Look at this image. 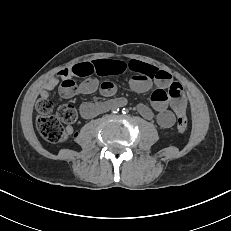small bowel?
Masks as SVG:
<instances>
[{"label": "small bowel", "instance_id": "c3829d8e", "mask_svg": "<svg viewBox=\"0 0 231 231\" xmlns=\"http://www.w3.org/2000/svg\"><path fill=\"white\" fill-rule=\"evenodd\" d=\"M125 71L132 72L129 84L134 91L143 93L155 86L151 94V106L148 107L144 104L138 106L139 112L146 119L155 118L162 128H171L176 117L186 114L187 102L181 84L175 81L168 72L138 60L126 63L120 60L101 59L65 68L44 83L37 104L48 99L50 92L61 79L72 75L84 78L79 86V93L91 94L99 89L104 96H111L116 92L115 85L110 81L99 84L96 76L118 75ZM113 102L115 105H122L124 99H116ZM108 107L105 102H85L80 106V115L85 119H90ZM66 130L68 133L72 132L71 127H67Z\"/></svg>", "mask_w": 231, "mask_h": 231}]
</instances>
